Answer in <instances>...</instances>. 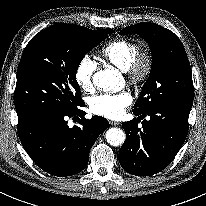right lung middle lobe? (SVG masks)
<instances>
[{
  "label": "right lung middle lobe",
  "instance_id": "obj_1",
  "mask_svg": "<svg viewBox=\"0 0 206 206\" xmlns=\"http://www.w3.org/2000/svg\"><path fill=\"white\" fill-rule=\"evenodd\" d=\"M113 32L55 24L35 35L27 44L17 70L14 103L18 123L82 106L76 81L78 66L87 52Z\"/></svg>",
  "mask_w": 206,
  "mask_h": 206
}]
</instances>
